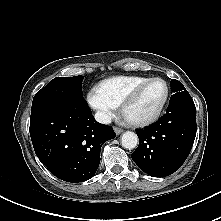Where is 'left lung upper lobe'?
Listing matches in <instances>:
<instances>
[{
  "label": "left lung upper lobe",
  "mask_w": 221,
  "mask_h": 221,
  "mask_svg": "<svg viewBox=\"0 0 221 221\" xmlns=\"http://www.w3.org/2000/svg\"><path fill=\"white\" fill-rule=\"evenodd\" d=\"M171 91L174 94L171 96L170 102H174L190 96L182 83L175 79L171 80Z\"/></svg>",
  "instance_id": "left-lung-upper-lobe-1"
}]
</instances>
